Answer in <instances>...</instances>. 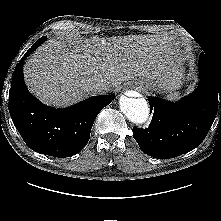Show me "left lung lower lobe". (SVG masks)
<instances>
[{
	"instance_id": "0a47b994",
	"label": "left lung lower lobe",
	"mask_w": 221,
	"mask_h": 221,
	"mask_svg": "<svg viewBox=\"0 0 221 221\" xmlns=\"http://www.w3.org/2000/svg\"><path fill=\"white\" fill-rule=\"evenodd\" d=\"M200 83L195 91L178 102L150 96L153 113L146 129L133 127V137L146 154L169 159L196 148L206 137L221 104V71L208 57H199Z\"/></svg>"
}]
</instances>
